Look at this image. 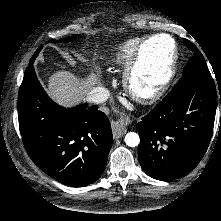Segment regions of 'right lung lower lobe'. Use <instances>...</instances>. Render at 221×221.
I'll list each match as a JSON object with an SVG mask.
<instances>
[{
    "instance_id": "obj_1",
    "label": "right lung lower lobe",
    "mask_w": 221,
    "mask_h": 221,
    "mask_svg": "<svg viewBox=\"0 0 221 221\" xmlns=\"http://www.w3.org/2000/svg\"><path fill=\"white\" fill-rule=\"evenodd\" d=\"M18 117L25 149L46 174L73 187L92 184L101 176L113 136L98 106L57 105L30 66L19 90Z\"/></svg>"
}]
</instances>
